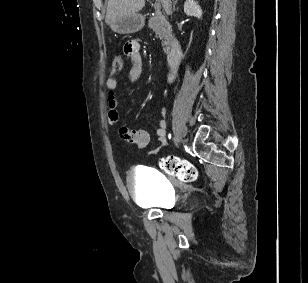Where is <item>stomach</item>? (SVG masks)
<instances>
[{"mask_svg":"<svg viewBox=\"0 0 308 283\" xmlns=\"http://www.w3.org/2000/svg\"><path fill=\"white\" fill-rule=\"evenodd\" d=\"M144 22V17L136 13L118 18L114 23L110 24V27L116 33L131 34L141 30Z\"/></svg>","mask_w":308,"mask_h":283,"instance_id":"0dacf381","label":"stomach"}]
</instances>
